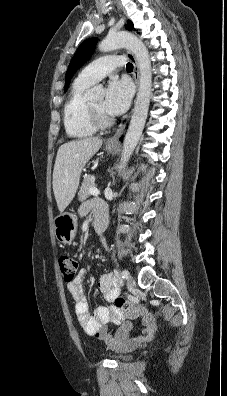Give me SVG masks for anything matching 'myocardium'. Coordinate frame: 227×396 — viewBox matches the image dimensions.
I'll use <instances>...</instances> for the list:
<instances>
[{
	"mask_svg": "<svg viewBox=\"0 0 227 396\" xmlns=\"http://www.w3.org/2000/svg\"><path fill=\"white\" fill-rule=\"evenodd\" d=\"M87 107L90 118L97 128H106L113 123V119L111 117L94 108L90 102L87 103Z\"/></svg>",
	"mask_w": 227,
	"mask_h": 396,
	"instance_id": "myocardium-1",
	"label": "myocardium"
}]
</instances>
